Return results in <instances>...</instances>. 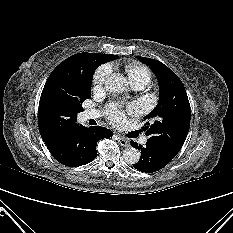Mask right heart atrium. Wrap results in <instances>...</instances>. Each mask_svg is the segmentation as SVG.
<instances>
[{
	"label": "right heart atrium",
	"instance_id": "1",
	"mask_svg": "<svg viewBox=\"0 0 233 233\" xmlns=\"http://www.w3.org/2000/svg\"><path fill=\"white\" fill-rule=\"evenodd\" d=\"M111 72H112V67L110 64L101 65L95 71L94 76H93V82L95 86L97 88L101 87L105 83V81L107 80Z\"/></svg>",
	"mask_w": 233,
	"mask_h": 233
}]
</instances>
